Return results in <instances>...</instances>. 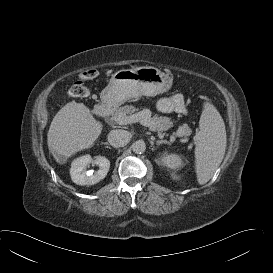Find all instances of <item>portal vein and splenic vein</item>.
<instances>
[{
  "instance_id": "obj_1",
  "label": "portal vein and splenic vein",
  "mask_w": 273,
  "mask_h": 273,
  "mask_svg": "<svg viewBox=\"0 0 273 273\" xmlns=\"http://www.w3.org/2000/svg\"><path fill=\"white\" fill-rule=\"evenodd\" d=\"M140 122L142 125L149 127L151 130H154L150 120L147 117V112L141 111L130 116H124L121 121L120 125L132 124Z\"/></svg>"
}]
</instances>
